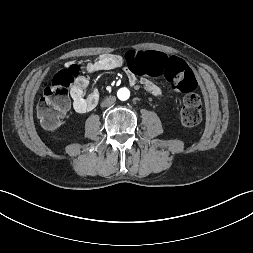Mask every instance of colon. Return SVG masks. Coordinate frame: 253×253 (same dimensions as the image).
<instances>
[{"label": "colon", "mask_w": 253, "mask_h": 253, "mask_svg": "<svg viewBox=\"0 0 253 253\" xmlns=\"http://www.w3.org/2000/svg\"><path fill=\"white\" fill-rule=\"evenodd\" d=\"M128 67L138 75L167 79L185 93L180 111L183 126L192 127L201 121L202 101L194 92L197 82L187 63L177 57L153 51H134L127 58ZM80 74L77 64L57 72L37 103V116L48 129L56 128L70 106L69 89Z\"/></svg>", "instance_id": "1"}]
</instances>
